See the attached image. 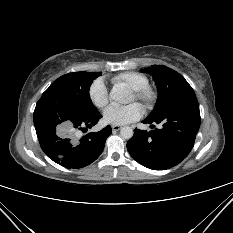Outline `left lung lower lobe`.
I'll list each match as a JSON object with an SVG mask.
<instances>
[{"instance_id": "obj_1", "label": "left lung lower lobe", "mask_w": 233, "mask_h": 233, "mask_svg": "<svg viewBox=\"0 0 233 233\" xmlns=\"http://www.w3.org/2000/svg\"><path fill=\"white\" fill-rule=\"evenodd\" d=\"M143 123L161 124L162 128L151 132L134 130L127 142L130 155L141 165L152 170H165L178 165L194 146L200 127L199 104L192 88L186 90L177 101L157 119Z\"/></svg>"}]
</instances>
